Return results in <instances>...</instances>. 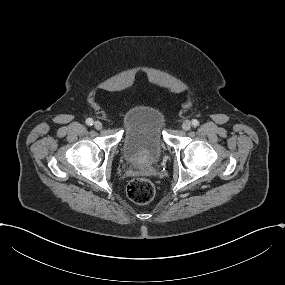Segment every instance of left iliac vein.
Listing matches in <instances>:
<instances>
[{
  "label": "left iliac vein",
  "instance_id": "obj_1",
  "mask_svg": "<svg viewBox=\"0 0 285 285\" xmlns=\"http://www.w3.org/2000/svg\"><path fill=\"white\" fill-rule=\"evenodd\" d=\"M182 128L183 130L187 131L191 128V122L189 120H185L183 123H182Z\"/></svg>",
  "mask_w": 285,
  "mask_h": 285
}]
</instances>
